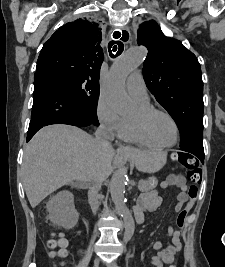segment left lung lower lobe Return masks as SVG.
<instances>
[{"label":"left lung lower lobe","mask_w":225,"mask_h":267,"mask_svg":"<svg viewBox=\"0 0 225 267\" xmlns=\"http://www.w3.org/2000/svg\"><path fill=\"white\" fill-rule=\"evenodd\" d=\"M181 150L191 153L196 156L200 162L204 163V148L202 145H192L188 147H182Z\"/></svg>","instance_id":"0a47b994"}]
</instances>
